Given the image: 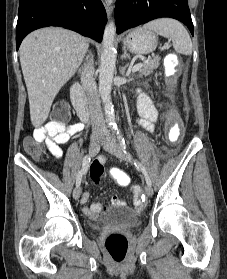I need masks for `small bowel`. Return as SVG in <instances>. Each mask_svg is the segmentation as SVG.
<instances>
[{
  "label": "small bowel",
  "instance_id": "obj_1",
  "mask_svg": "<svg viewBox=\"0 0 227 279\" xmlns=\"http://www.w3.org/2000/svg\"><path fill=\"white\" fill-rule=\"evenodd\" d=\"M137 109L140 115V124L147 130L153 129V124L158 118V108L157 105L144 93H141L138 97ZM82 129L79 123L67 124L64 128L58 129L57 126L52 124H47L42 128L37 129L32 137H29L27 141L35 140L38 142H43L49 153L55 157L59 158L62 156L61 145L66 144L70 137ZM115 169H110L109 173L113 174ZM104 171L97 174L91 175V182L93 185H98L100 183V177L103 175ZM89 198L87 192L82 195V202L86 203ZM117 200H112V204H116ZM102 205L100 203H93L91 205H86L83 207V212L86 215H92L101 209Z\"/></svg>",
  "mask_w": 227,
  "mask_h": 279
}]
</instances>
